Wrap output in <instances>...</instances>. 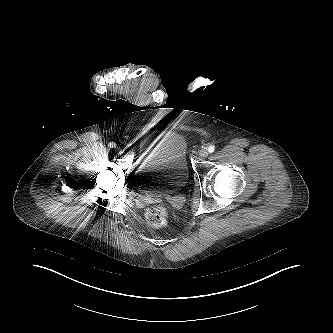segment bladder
Instances as JSON below:
<instances>
[{"instance_id":"bladder-1","label":"bladder","mask_w":333,"mask_h":333,"mask_svg":"<svg viewBox=\"0 0 333 333\" xmlns=\"http://www.w3.org/2000/svg\"><path fill=\"white\" fill-rule=\"evenodd\" d=\"M187 151V139L181 132L162 135L136 167V190L145 195L167 196L184 188L189 178Z\"/></svg>"}]
</instances>
